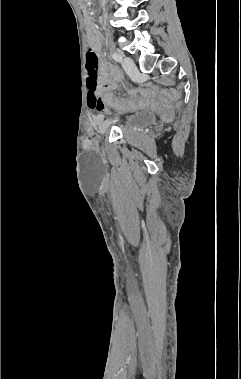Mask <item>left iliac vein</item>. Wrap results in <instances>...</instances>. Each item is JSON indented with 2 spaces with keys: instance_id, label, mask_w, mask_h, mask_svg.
I'll return each mask as SVG.
<instances>
[{
  "instance_id": "1",
  "label": "left iliac vein",
  "mask_w": 241,
  "mask_h": 379,
  "mask_svg": "<svg viewBox=\"0 0 241 379\" xmlns=\"http://www.w3.org/2000/svg\"><path fill=\"white\" fill-rule=\"evenodd\" d=\"M122 66H123L124 70L130 76L136 77L138 75V69H137L135 63L133 62V60L131 58L124 57L122 60ZM110 124H111L110 121H105L100 128V132L104 133L106 131V129L110 126Z\"/></svg>"
}]
</instances>
